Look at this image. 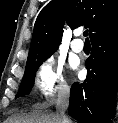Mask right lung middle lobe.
Instances as JSON below:
<instances>
[{"label": "right lung middle lobe", "instance_id": "right-lung-middle-lobe-1", "mask_svg": "<svg viewBox=\"0 0 118 123\" xmlns=\"http://www.w3.org/2000/svg\"><path fill=\"white\" fill-rule=\"evenodd\" d=\"M50 56L44 57L40 60H38L33 66L25 70L19 91L16 95V98L19 96H25L28 95L31 91V88L34 85V79H35V73L37 69L39 68L40 64H42L43 61H45Z\"/></svg>", "mask_w": 118, "mask_h": 123}]
</instances>
